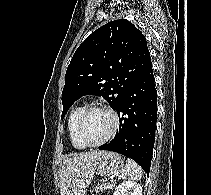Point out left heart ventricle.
Here are the masks:
<instances>
[{
    "label": "left heart ventricle",
    "instance_id": "1",
    "mask_svg": "<svg viewBox=\"0 0 211 195\" xmlns=\"http://www.w3.org/2000/svg\"><path fill=\"white\" fill-rule=\"evenodd\" d=\"M113 125L111 115L105 111H93L84 120L82 134L87 142L95 143L105 138Z\"/></svg>",
    "mask_w": 211,
    "mask_h": 195
}]
</instances>
